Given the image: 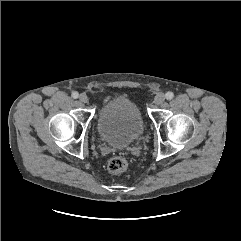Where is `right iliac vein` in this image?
I'll return each instance as SVG.
<instances>
[{
    "instance_id": "63e3f726",
    "label": "right iliac vein",
    "mask_w": 241,
    "mask_h": 241,
    "mask_svg": "<svg viewBox=\"0 0 241 241\" xmlns=\"http://www.w3.org/2000/svg\"><path fill=\"white\" fill-rule=\"evenodd\" d=\"M79 100L82 102V103H87L88 102V96L85 94V93H81L79 95Z\"/></svg>"
}]
</instances>
